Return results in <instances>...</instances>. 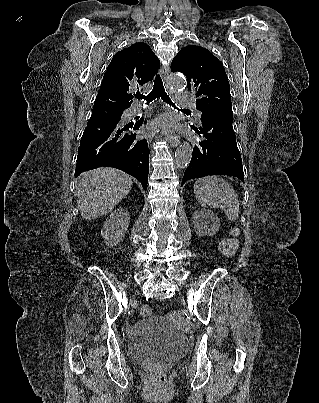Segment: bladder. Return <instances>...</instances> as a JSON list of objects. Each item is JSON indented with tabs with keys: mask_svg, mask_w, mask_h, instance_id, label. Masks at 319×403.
<instances>
[{
	"mask_svg": "<svg viewBox=\"0 0 319 403\" xmlns=\"http://www.w3.org/2000/svg\"><path fill=\"white\" fill-rule=\"evenodd\" d=\"M129 356L139 363L156 364L180 356L186 338L161 316L150 315L137 322L129 332Z\"/></svg>",
	"mask_w": 319,
	"mask_h": 403,
	"instance_id": "1",
	"label": "bladder"
}]
</instances>
